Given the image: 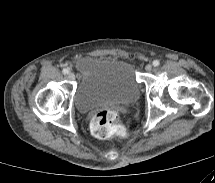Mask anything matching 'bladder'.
<instances>
[{
	"label": "bladder",
	"mask_w": 215,
	"mask_h": 183,
	"mask_svg": "<svg viewBox=\"0 0 215 183\" xmlns=\"http://www.w3.org/2000/svg\"><path fill=\"white\" fill-rule=\"evenodd\" d=\"M76 69L79 83L74 104L82 113L103 106L128 105L139 97L134 68L125 60L88 56L77 61Z\"/></svg>",
	"instance_id": "obj_1"
}]
</instances>
